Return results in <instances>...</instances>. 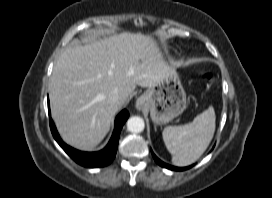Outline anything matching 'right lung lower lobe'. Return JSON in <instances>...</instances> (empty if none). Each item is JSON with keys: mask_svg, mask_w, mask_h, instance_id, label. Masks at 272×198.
I'll return each mask as SVG.
<instances>
[{"mask_svg": "<svg viewBox=\"0 0 272 198\" xmlns=\"http://www.w3.org/2000/svg\"><path fill=\"white\" fill-rule=\"evenodd\" d=\"M48 112L50 116L49 101H48ZM128 117H129V113L126 109H124L123 111L119 113V115L116 117L115 129L108 145L103 150L98 152H93V153L81 152L65 144L61 140L51 117H50V128L55 140L75 162L85 167H103L110 164L112 160L114 159L116 155V151H117L120 131L125 121L128 119Z\"/></svg>", "mask_w": 272, "mask_h": 198, "instance_id": "obj_1", "label": "right lung lower lobe"}]
</instances>
